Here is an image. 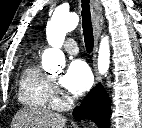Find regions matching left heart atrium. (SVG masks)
Segmentation results:
<instances>
[{
    "label": "left heart atrium",
    "instance_id": "left-heart-atrium-1",
    "mask_svg": "<svg viewBox=\"0 0 142 128\" xmlns=\"http://www.w3.org/2000/svg\"><path fill=\"white\" fill-rule=\"evenodd\" d=\"M92 73L88 65L82 60L72 61L63 76L61 85L72 95H81L92 85Z\"/></svg>",
    "mask_w": 142,
    "mask_h": 128
}]
</instances>
